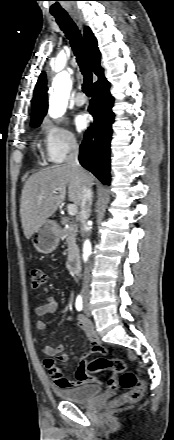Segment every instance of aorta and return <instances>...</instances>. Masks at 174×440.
<instances>
[{
	"label": "aorta",
	"instance_id": "aorta-1",
	"mask_svg": "<svg viewBox=\"0 0 174 440\" xmlns=\"http://www.w3.org/2000/svg\"><path fill=\"white\" fill-rule=\"evenodd\" d=\"M71 88L70 74L67 71L58 73L52 82V92L49 99L48 113L52 118L61 117L65 113ZM91 253V243L89 240H86L83 249L84 262L88 260Z\"/></svg>",
	"mask_w": 174,
	"mask_h": 440
}]
</instances>
